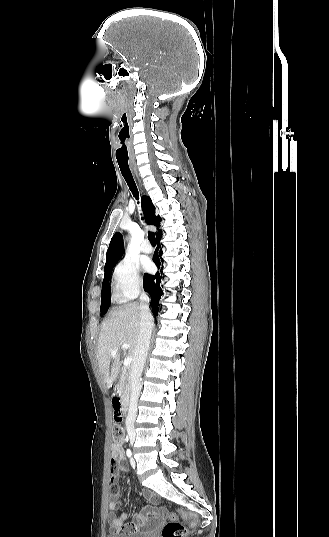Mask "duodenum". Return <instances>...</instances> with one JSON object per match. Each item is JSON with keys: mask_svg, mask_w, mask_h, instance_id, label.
Masks as SVG:
<instances>
[{"mask_svg": "<svg viewBox=\"0 0 329 537\" xmlns=\"http://www.w3.org/2000/svg\"><path fill=\"white\" fill-rule=\"evenodd\" d=\"M116 385L114 382L111 383V388L115 389ZM116 404H118V407L121 408L122 416L124 417L127 414L128 411V403L124 400L116 399Z\"/></svg>", "mask_w": 329, "mask_h": 537, "instance_id": "410a0bca", "label": "duodenum"}]
</instances>
